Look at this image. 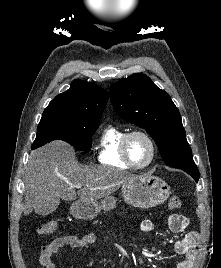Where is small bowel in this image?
Listing matches in <instances>:
<instances>
[{
	"label": "small bowel",
	"mask_w": 221,
	"mask_h": 268,
	"mask_svg": "<svg viewBox=\"0 0 221 268\" xmlns=\"http://www.w3.org/2000/svg\"><path fill=\"white\" fill-rule=\"evenodd\" d=\"M169 228L175 233L183 232L188 224V219L181 214H172L168 219ZM155 222L151 219H145L141 222L140 228L144 233H152L155 230ZM96 241L94 233H87L82 236L67 235L54 239L49 244L43 246L40 251L39 264L44 268H56L53 262V255L63 247L87 248ZM199 241V235L195 231H190L185 236L173 244L174 254L184 256L177 263L175 268H192L196 259V248Z\"/></svg>",
	"instance_id": "small-bowel-1"
}]
</instances>
